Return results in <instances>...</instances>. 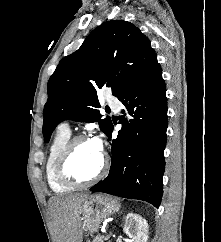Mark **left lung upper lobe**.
I'll return each instance as SVG.
<instances>
[{
    "mask_svg": "<svg viewBox=\"0 0 221 242\" xmlns=\"http://www.w3.org/2000/svg\"><path fill=\"white\" fill-rule=\"evenodd\" d=\"M149 39L134 24L106 21L94 29L81 47L63 58L48 81L44 107V141L63 120L99 122L107 135L111 120L102 119L97 91L110 87L119 98L158 66Z\"/></svg>",
    "mask_w": 221,
    "mask_h": 242,
    "instance_id": "left-lung-upper-lobe-1",
    "label": "left lung upper lobe"
}]
</instances>
